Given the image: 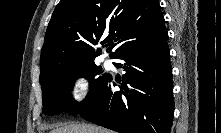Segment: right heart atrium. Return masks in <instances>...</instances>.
Returning <instances> with one entry per match:
<instances>
[{"label": "right heart atrium", "instance_id": "obj_1", "mask_svg": "<svg viewBox=\"0 0 221 133\" xmlns=\"http://www.w3.org/2000/svg\"><path fill=\"white\" fill-rule=\"evenodd\" d=\"M91 93V80L85 73H76L70 81V94L75 104L86 102Z\"/></svg>", "mask_w": 221, "mask_h": 133}]
</instances>
